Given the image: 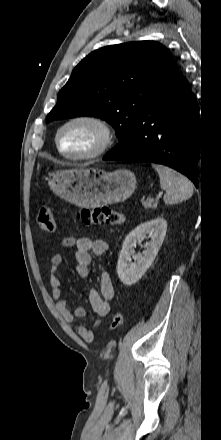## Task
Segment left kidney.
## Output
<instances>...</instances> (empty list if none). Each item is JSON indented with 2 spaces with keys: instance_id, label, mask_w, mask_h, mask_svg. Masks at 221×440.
I'll return each mask as SVG.
<instances>
[{
  "instance_id": "left-kidney-1",
  "label": "left kidney",
  "mask_w": 221,
  "mask_h": 440,
  "mask_svg": "<svg viewBox=\"0 0 221 440\" xmlns=\"http://www.w3.org/2000/svg\"><path fill=\"white\" fill-rule=\"evenodd\" d=\"M167 231V222L158 217L140 224L125 238L117 263L118 277L124 285L131 286L145 274L152 265L163 243ZM151 236V241L143 247L142 253L135 254L134 247L141 243L146 235ZM134 259V263H132Z\"/></svg>"
}]
</instances>
